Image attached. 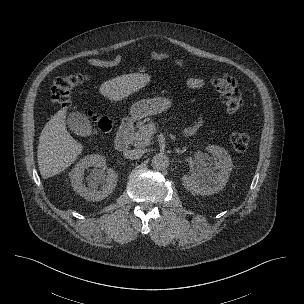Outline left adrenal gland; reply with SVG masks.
<instances>
[{
    "label": "left adrenal gland",
    "instance_id": "left-adrenal-gland-1",
    "mask_svg": "<svg viewBox=\"0 0 304 304\" xmlns=\"http://www.w3.org/2000/svg\"><path fill=\"white\" fill-rule=\"evenodd\" d=\"M186 149H187L186 147H184L182 150L176 149V153L183 154L186 151Z\"/></svg>",
    "mask_w": 304,
    "mask_h": 304
}]
</instances>
